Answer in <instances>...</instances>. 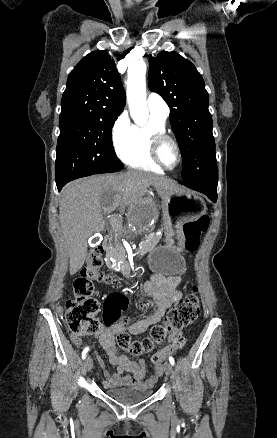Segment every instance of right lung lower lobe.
Listing matches in <instances>:
<instances>
[{"label":"right lung lower lobe","mask_w":277,"mask_h":438,"mask_svg":"<svg viewBox=\"0 0 277 438\" xmlns=\"http://www.w3.org/2000/svg\"><path fill=\"white\" fill-rule=\"evenodd\" d=\"M66 183H67V181H65V182H56L58 190L60 191L61 188H62Z\"/></svg>","instance_id":"right-lung-lower-lobe-1"}]
</instances>
